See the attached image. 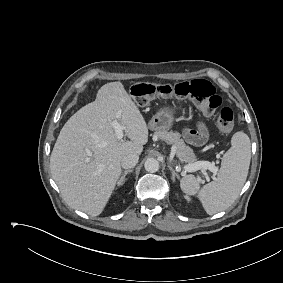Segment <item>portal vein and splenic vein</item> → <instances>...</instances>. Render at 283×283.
I'll return each instance as SVG.
<instances>
[{
    "label": "portal vein and splenic vein",
    "instance_id": "18ae733b",
    "mask_svg": "<svg viewBox=\"0 0 283 283\" xmlns=\"http://www.w3.org/2000/svg\"><path fill=\"white\" fill-rule=\"evenodd\" d=\"M112 125L115 129L117 139L122 140L124 136L123 131L125 130V127L121 126L116 120L112 122ZM184 168L188 172H195L202 168L208 169L213 173H216L218 171V168L213 163L208 161H198L193 164L186 165Z\"/></svg>",
    "mask_w": 283,
    "mask_h": 283
}]
</instances>
